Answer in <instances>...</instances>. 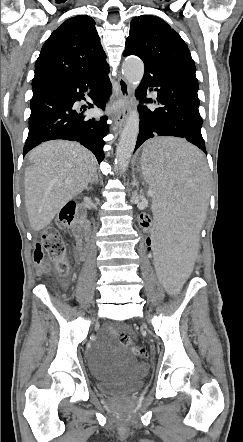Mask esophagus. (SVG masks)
<instances>
[{
    "mask_svg": "<svg viewBox=\"0 0 243 442\" xmlns=\"http://www.w3.org/2000/svg\"><path fill=\"white\" fill-rule=\"evenodd\" d=\"M115 96L117 102L128 101L130 98L129 85L127 81L122 77L118 79V91L116 92ZM128 112H129V107L127 104L117 109L114 117V124L112 126L113 131L122 129V127L125 124Z\"/></svg>",
    "mask_w": 243,
    "mask_h": 442,
    "instance_id": "obj_1",
    "label": "esophagus"
}]
</instances>
